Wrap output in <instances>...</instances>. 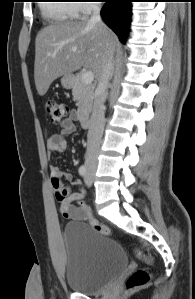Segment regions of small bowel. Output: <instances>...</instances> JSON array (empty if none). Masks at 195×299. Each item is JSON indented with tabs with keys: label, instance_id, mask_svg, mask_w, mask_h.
I'll list each match as a JSON object with an SVG mask.
<instances>
[{
	"label": "small bowel",
	"instance_id": "obj_1",
	"mask_svg": "<svg viewBox=\"0 0 195 299\" xmlns=\"http://www.w3.org/2000/svg\"><path fill=\"white\" fill-rule=\"evenodd\" d=\"M77 120V113L72 110L69 116L61 121L59 132L53 134L47 140V148L51 152H62L67 147L66 137L75 130V122ZM61 179L70 182L74 186H80L79 181H73L72 175L60 168L53 166L51 168V183L55 190L57 180L59 181L58 187L66 194V198L63 201H59V208L62 215L67 219L82 220L78 210V205L73 204L74 202H81L85 192L81 189L77 192L71 193L70 187H64L61 183Z\"/></svg>",
	"mask_w": 195,
	"mask_h": 299
}]
</instances>
